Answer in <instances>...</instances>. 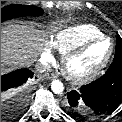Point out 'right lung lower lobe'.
I'll return each instance as SVG.
<instances>
[{
	"label": "right lung lower lobe",
	"instance_id": "obj_1",
	"mask_svg": "<svg viewBox=\"0 0 122 122\" xmlns=\"http://www.w3.org/2000/svg\"><path fill=\"white\" fill-rule=\"evenodd\" d=\"M33 75L34 73L28 69H18L7 75L1 76V93L7 91L8 89L23 86L29 78L33 77ZM22 88L23 87H21L18 90H21ZM15 98H16V100L14 101L15 105L13 107V110L11 111L12 113H10V117L7 118L8 120L15 117L18 114V112H20L23 109L25 105V92L24 91L18 92ZM1 111L3 112V110Z\"/></svg>",
	"mask_w": 122,
	"mask_h": 122
}]
</instances>
